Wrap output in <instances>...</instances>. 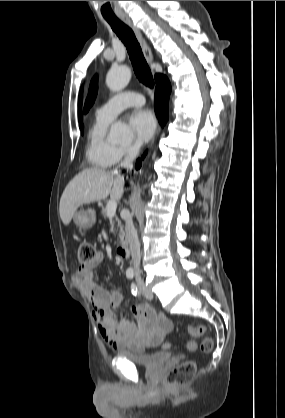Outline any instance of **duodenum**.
<instances>
[{
    "mask_svg": "<svg viewBox=\"0 0 285 418\" xmlns=\"http://www.w3.org/2000/svg\"><path fill=\"white\" fill-rule=\"evenodd\" d=\"M118 255L121 258H128L130 256V246L128 243H124L118 248Z\"/></svg>",
    "mask_w": 285,
    "mask_h": 418,
    "instance_id": "duodenum-1",
    "label": "duodenum"
}]
</instances>
